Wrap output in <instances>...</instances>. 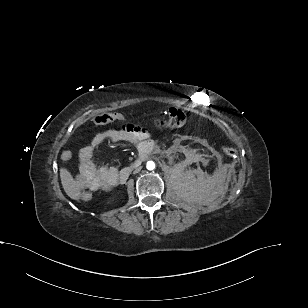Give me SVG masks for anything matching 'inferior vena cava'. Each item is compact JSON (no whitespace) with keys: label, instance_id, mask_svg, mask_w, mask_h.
Instances as JSON below:
<instances>
[{"label":"inferior vena cava","instance_id":"602c4592","mask_svg":"<svg viewBox=\"0 0 308 308\" xmlns=\"http://www.w3.org/2000/svg\"><path fill=\"white\" fill-rule=\"evenodd\" d=\"M140 170H141V168L138 167V168L135 169L134 173H138Z\"/></svg>","mask_w":308,"mask_h":308}]
</instances>
